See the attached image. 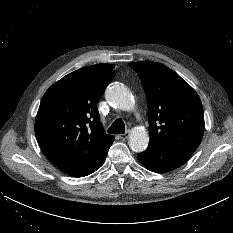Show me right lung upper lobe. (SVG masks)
Masks as SVG:
<instances>
[{
  "label": "right lung upper lobe",
  "mask_w": 233,
  "mask_h": 233,
  "mask_svg": "<svg viewBox=\"0 0 233 233\" xmlns=\"http://www.w3.org/2000/svg\"><path fill=\"white\" fill-rule=\"evenodd\" d=\"M113 64L76 70L44 94L35 119V135L46 157L65 173L97 159L114 141L99 121L97 103L115 76Z\"/></svg>",
  "instance_id": "right-lung-upper-lobe-1"
}]
</instances>
